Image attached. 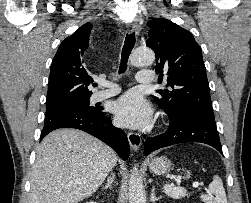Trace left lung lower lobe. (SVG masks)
Wrapping results in <instances>:
<instances>
[{
    "label": "left lung lower lobe",
    "instance_id": "left-lung-lower-lobe-1",
    "mask_svg": "<svg viewBox=\"0 0 251 203\" xmlns=\"http://www.w3.org/2000/svg\"><path fill=\"white\" fill-rule=\"evenodd\" d=\"M185 142L205 143L222 153L215 119L198 112H188L170 118L165 133L148 138L144 146V154L147 156L159 148Z\"/></svg>",
    "mask_w": 251,
    "mask_h": 203
}]
</instances>
